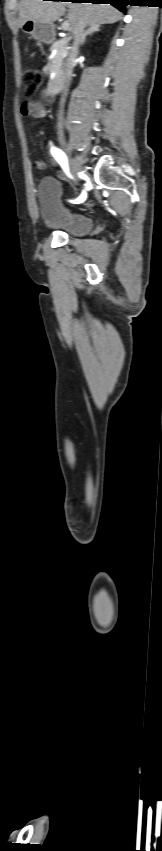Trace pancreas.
Returning a JSON list of instances; mask_svg holds the SVG:
<instances>
[{"label": "pancreas", "instance_id": "1", "mask_svg": "<svg viewBox=\"0 0 162 851\" xmlns=\"http://www.w3.org/2000/svg\"><path fill=\"white\" fill-rule=\"evenodd\" d=\"M50 51L54 55L50 63H48L46 69L51 72H54L55 74H58L61 71L64 62L70 53L69 48L66 44V41L64 39H61L53 43L50 48Z\"/></svg>", "mask_w": 162, "mask_h": 851}]
</instances>
